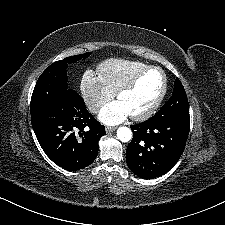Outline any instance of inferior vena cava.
I'll return each mask as SVG.
<instances>
[{
	"mask_svg": "<svg viewBox=\"0 0 225 225\" xmlns=\"http://www.w3.org/2000/svg\"><path fill=\"white\" fill-rule=\"evenodd\" d=\"M101 103L100 102H93V103H89L88 104V109L91 111V112H93V113H95V112H97V110L101 107Z\"/></svg>",
	"mask_w": 225,
	"mask_h": 225,
	"instance_id": "602c4592",
	"label": "inferior vena cava"
}]
</instances>
